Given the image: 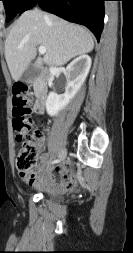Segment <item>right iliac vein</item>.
Returning <instances> with one entry per match:
<instances>
[{"label": "right iliac vein", "mask_w": 133, "mask_h": 253, "mask_svg": "<svg viewBox=\"0 0 133 253\" xmlns=\"http://www.w3.org/2000/svg\"><path fill=\"white\" fill-rule=\"evenodd\" d=\"M67 156V150L64 148L59 154V162H63Z\"/></svg>", "instance_id": "obj_1"}]
</instances>
